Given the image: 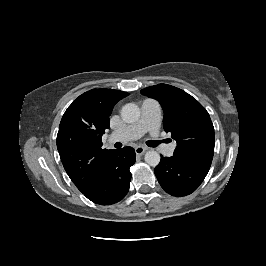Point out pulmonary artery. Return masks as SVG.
Wrapping results in <instances>:
<instances>
[{
    "label": "pulmonary artery",
    "instance_id": "1",
    "mask_svg": "<svg viewBox=\"0 0 266 266\" xmlns=\"http://www.w3.org/2000/svg\"><path fill=\"white\" fill-rule=\"evenodd\" d=\"M162 118L160 104L153 99H145L141 106V116L133 124L126 126L120 131H114L110 134V139L118 138L120 141L134 140L141 137L145 132H150L152 136L158 134ZM176 144H163L161 151L166 156H171Z\"/></svg>",
    "mask_w": 266,
    "mask_h": 266
}]
</instances>
